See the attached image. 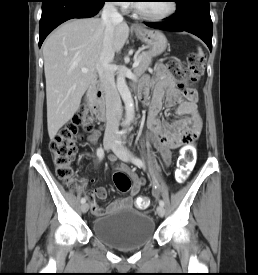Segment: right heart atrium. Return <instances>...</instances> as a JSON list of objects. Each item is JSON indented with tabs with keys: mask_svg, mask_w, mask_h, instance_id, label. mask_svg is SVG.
<instances>
[{
	"mask_svg": "<svg viewBox=\"0 0 258 275\" xmlns=\"http://www.w3.org/2000/svg\"><path fill=\"white\" fill-rule=\"evenodd\" d=\"M111 2H116V5H119L121 7H126L128 4V0H110Z\"/></svg>",
	"mask_w": 258,
	"mask_h": 275,
	"instance_id": "d8ad5b80",
	"label": "right heart atrium"
}]
</instances>
